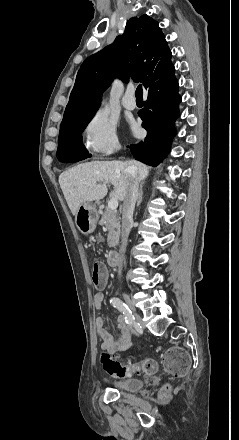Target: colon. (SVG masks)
Returning a JSON list of instances; mask_svg holds the SVG:
<instances>
[{"instance_id": "5ec220e1", "label": "colon", "mask_w": 239, "mask_h": 440, "mask_svg": "<svg viewBox=\"0 0 239 440\" xmlns=\"http://www.w3.org/2000/svg\"><path fill=\"white\" fill-rule=\"evenodd\" d=\"M106 269L101 262H94L92 267V281L96 287H103L106 284ZM101 363L104 370L111 376L122 378L133 374H153L157 370V364L153 359H143L132 364L120 362L103 352ZM165 369L174 376H183L189 369V358L186 352L180 348H174L167 352L164 357Z\"/></svg>"}]
</instances>
